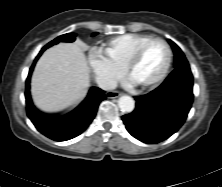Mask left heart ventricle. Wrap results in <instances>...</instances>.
<instances>
[{
	"label": "left heart ventricle",
	"instance_id": "b2bd125f",
	"mask_svg": "<svg viewBox=\"0 0 222 187\" xmlns=\"http://www.w3.org/2000/svg\"><path fill=\"white\" fill-rule=\"evenodd\" d=\"M167 61V50L160 42H151L145 46L131 72L135 83L148 82L160 75Z\"/></svg>",
	"mask_w": 222,
	"mask_h": 187
}]
</instances>
